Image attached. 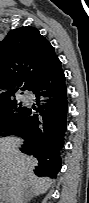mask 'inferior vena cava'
Segmentation results:
<instances>
[{"mask_svg":"<svg viewBox=\"0 0 89 203\" xmlns=\"http://www.w3.org/2000/svg\"><path fill=\"white\" fill-rule=\"evenodd\" d=\"M17 203H24V196H23V194L20 195V197L17 200Z\"/></svg>","mask_w":89,"mask_h":203,"instance_id":"602c4592","label":"inferior vena cava"}]
</instances>
